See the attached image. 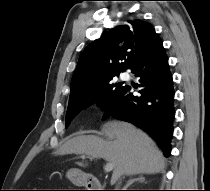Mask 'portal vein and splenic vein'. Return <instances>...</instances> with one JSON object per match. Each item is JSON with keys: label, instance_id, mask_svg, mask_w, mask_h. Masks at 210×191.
I'll list each match as a JSON object with an SVG mask.
<instances>
[{"label": "portal vein and splenic vein", "instance_id": "1", "mask_svg": "<svg viewBox=\"0 0 210 191\" xmlns=\"http://www.w3.org/2000/svg\"><path fill=\"white\" fill-rule=\"evenodd\" d=\"M114 168V163L108 162L104 165V171L105 172H111Z\"/></svg>", "mask_w": 210, "mask_h": 191}]
</instances>
